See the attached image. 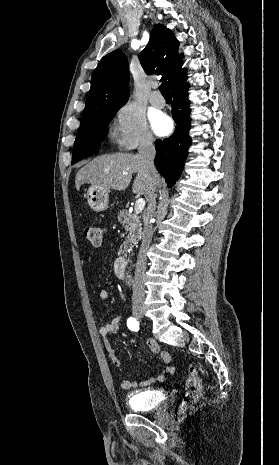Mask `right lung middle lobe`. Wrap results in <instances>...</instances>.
Listing matches in <instances>:
<instances>
[{
	"mask_svg": "<svg viewBox=\"0 0 279 465\" xmlns=\"http://www.w3.org/2000/svg\"><path fill=\"white\" fill-rule=\"evenodd\" d=\"M117 111L118 109L104 110L92 122L79 127L72 152V164L98 153L100 142L107 132L106 128Z\"/></svg>",
	"mask_w": 279,
	"mask_h": 465,
	"instance_id": "obj_1",
	"label": "right lung middle lobe"
}]
</instances>
